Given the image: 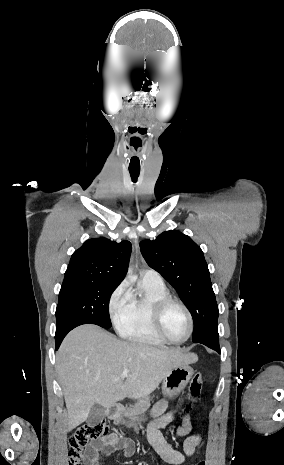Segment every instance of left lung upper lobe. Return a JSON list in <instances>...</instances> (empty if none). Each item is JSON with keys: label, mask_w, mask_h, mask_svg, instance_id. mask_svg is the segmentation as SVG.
Masks as SVG:
<instances>
[{"label": "left lung upper lobe", "mask_w": 284, "mask_h": 465, "mask_svg": "<svg viewBox=\"0 0 284 465\" xmlns=\"http://www.w3.org/2000/svg\"><path fill=\"white\" fill-rule=\"evenodd\" d=\"M140 248L148 265L176 289L189 309L194 322L192 341L218 334L219 311L201 248L178 231L144 240Z\"/></svg>", "instance_id": "5c2ea615"}]
</instances>
